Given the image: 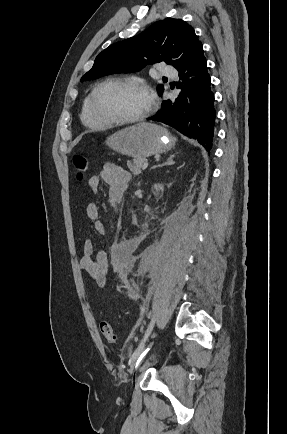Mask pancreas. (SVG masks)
<instances>
[{"label": "pancreas", "instance_id": "1", "mask_svg": "<svg viewBox=\"0 0 287 434\" xmlns=\"http://www.w3.org/2000/svg\"><path fill=\"white\" fill-rule=\"evenodd\" d=\"M146 160L144 158H138V159H134L132 162L128 161L127 162V166L129 168V170L134 174V175H139L141 173V168L143 166V163Z\"/></svg>", "mask_w": 287, "mask_h": 434}]
</instances>
